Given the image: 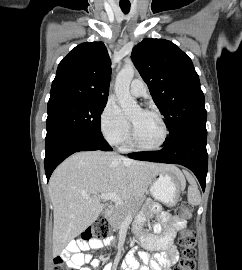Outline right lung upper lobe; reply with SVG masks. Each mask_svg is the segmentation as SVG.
<instances>
[{
    "instance_id": "right-lung-upper-lobe-1",
    "label": "right lung upper lobe",
    "mask_w": 242,
    "mask_h": 270,
    "mask_svg": "<svg viewBox=\"0 0 242 270\" xmlns=\"http://www.w3.org/2000/svg\"><path fill=\"white\" fill-rule=\"evenodd\" d=\"M110 65L102 42L76 46L58 65L48 105L69 101H107Z\"/></svg>"
}]
</instances>
